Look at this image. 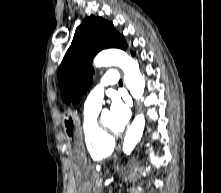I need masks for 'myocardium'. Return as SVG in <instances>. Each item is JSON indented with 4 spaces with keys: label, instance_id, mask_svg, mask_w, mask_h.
Segmentation results:
<instances>
[{
    "label": "myocardium",
    "instance_id": "myocardium-1",
    "mask_svg": "<svg viewBox=\"0 0 221 193\" xmlns=\"http://www.w3.org/2000/svg\"><path fill=\"white\" fill-rule=\"evenodd\" d=\"M100 133L108 140H113L112 137L118 135L117 131L109 130L103 123L102 118L98 119L97 122Z\"/></svg>",
    "mask_w": 221,
    "mask_h": 193
}]
</instances>
